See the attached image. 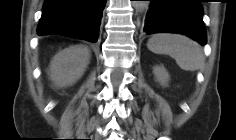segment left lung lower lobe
<instances>
[{
  "label": "left lung lower lobe",
  "mask_w": 236,
  "mask_h": 140,
  "mask_svg": "<svg viewBox=\"0 0 236 140\" xmlns=\"http://www.w3.org/2000/svg\"><path fill=\"white\" fill-rule=\"evenodd\" d=\"M144 32L180 33L196 40L201 45L207 42L202 20L201 0H150Z\"/></svg>",
  "instance_id": "0a47b994"
}]
</instances>
